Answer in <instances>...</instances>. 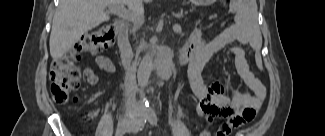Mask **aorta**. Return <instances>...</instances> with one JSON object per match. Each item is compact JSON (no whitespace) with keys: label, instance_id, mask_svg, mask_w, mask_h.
Wrapping results in <instances>:
<instances>
[{"label":"aorta","instance_id":"obj_1","mask_svg":"<svg viewBox=\"0 0 325 136\" xmlns=\"http://www.w3.org/2000/svg\"><path fill=\"white\" fill-rule=\"evenodd\" d=\"M152 69H153V55L151 53H147L141 60V63L137 71V80L141 91H143L145 86L148 84ZM141 110L144 113L152 112V108L149 106V103L145 100L141 102Z\"/></svg>","mask_w":325,"mask_h":136}]
</instances>
